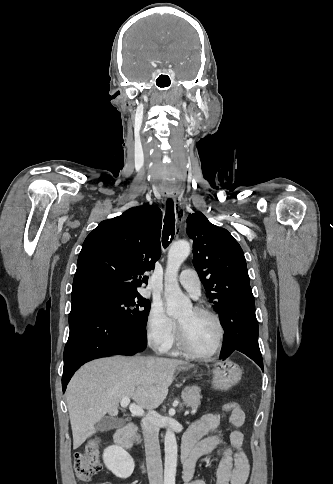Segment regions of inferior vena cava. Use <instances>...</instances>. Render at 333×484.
I'll return each instance as SVG.
<instances>
[{
    "mask_svg": "<svg viewBox=\"0 0 333 484\" xmlns=\"http://www.w3.org/2000/svg\"><path fill=\"white\" fill-rule=\"evenodd\" d=\"M141 427L145 443L149 484H164L161 451L158 439L159 427L155 422L154 411H149V413L142 419Z\"/></svg>",
    "mask_w": 333,
    "mask_h": 484,
    "instance_id": "inferior-vena-cava-1",
    "label": "inferior vena cava"
}]
</instances>
